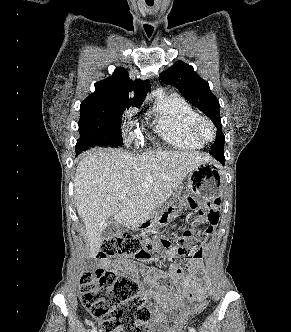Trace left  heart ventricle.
<instances>
[{"label":"left heart ventricle","mask_w":291,"mask_h":332,"mask_svg":"<svg viewBox=\"0 0 291 332\" xmlns=\"http://www.w3.org/2000/svg\"><path fill=\"white\" fill-rule=\"evenodd\" d=\"M201 133L204 137L210 138L211 137V130L207 125H203L201 128Z\"/></svg>","instance_id":"1"}]
</instances>
